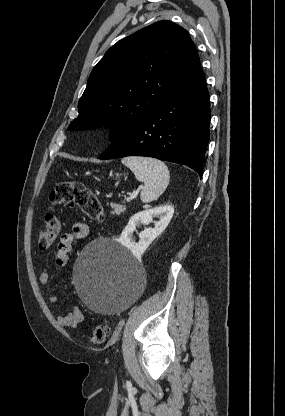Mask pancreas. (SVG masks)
Returning a JSON list of instances; mask_svg holds the SVG:
<instances>
[{
	"label": "pancreas",
	"mask_w": 285,
	"mask_h": 416,
	"mask_svg": "<svg viewBox=\"0 0 285 416\" xmlns=\"http://www.w3.org/2000/svg\"><path fill=\"white\" fill-rule=\"evenodd\" d=\"M111 208H113L112 214H121V212H125V206H119V204H112Z\"/></svg>",
	"instance_id": "pancreas-1"
}]
</instances>
